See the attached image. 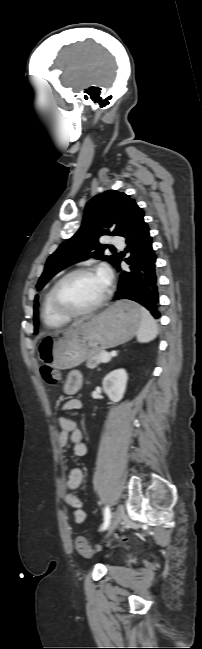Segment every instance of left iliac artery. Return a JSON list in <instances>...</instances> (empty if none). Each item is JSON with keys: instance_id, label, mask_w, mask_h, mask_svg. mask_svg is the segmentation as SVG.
Instances as JSON below:
<instances>
[{"instance_id": "44dca946", "label": "left iliac artery", "mask_w": 202, "mask_h": 649, "mask_svg": "<svg viewBox=\"0 0 202 649\" xmlns=\"http://www.w3.org/2000/svg\"><path fill=\"white\" fill-rule=\"evenodd\" d=\"M110 519H111L110 508H109V506H106L105 510H104V523H103V526H102V530L107 529V527L110 524Z\"/></svg>"}]
</instances>
